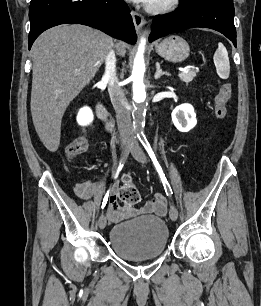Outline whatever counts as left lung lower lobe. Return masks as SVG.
<instances>
[{"instance_id": "1", "label": "left lung lower lobe", "mask_w": 261, "mask_h": 306, "mask_svg": "<svg viewBox=\"0 0 261 306\" xmlns=\"http://www.w3.org/2000/svg\"><path fill=\"white\" fill-rule=\"evenodd\" d=\"M194 27L214 29L224 34L236 47L233 1H180V7L175 12L155 16L149 41H153L173 31Z\"/></svg>"}]
</instances>
